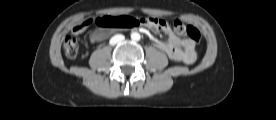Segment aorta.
<instances>
[{
  "instance_id": "762f6f07",
  "label": "aorta",
  "mask_w": 276,
  "mask_h": 120,
  "mask_svg": "<svg viewBox=\"0 0 276 120\" xmlns=\"http://www.w3.org/2000/svg\"><path fill=\"white\" fill-rule=\"evenodd\" d=\"M140 38H141V37H140V34L137 33V32H133V33L131 34V39L134 40V41H139Z\"/></svg>"
}]
</instances>
